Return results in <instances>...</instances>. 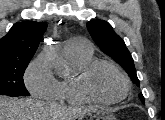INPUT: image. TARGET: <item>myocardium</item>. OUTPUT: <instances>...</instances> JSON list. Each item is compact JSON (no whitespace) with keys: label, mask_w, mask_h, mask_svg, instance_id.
Wrapping results in <instances>:
<instances>
[{"label":"myocardium","mask_w":165,"mask_h":120,"mask_svg":"<svg viewBox=\"0 0 165 120\" xmlns=\"http://www.w3.org/2000/svg\"><path fill=\"white\" fill-rule=\"evenodd\" d=\"M102 66H108L113 68L122 77L125 85V89L120 97L113 99H105L98 96L95 93L92 87V77L94 73ZM78 87L82 95L85 98H87L89 101H93L101 104H115L123 101L127 97L130 91V80L127 74L125 73V71L115 62L105 59H97V60H93L87 66L84 67L79 77Z\"/></svg>","instance_id":"myocardium-1"}]
</instances>
